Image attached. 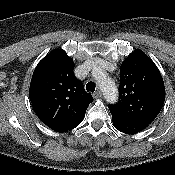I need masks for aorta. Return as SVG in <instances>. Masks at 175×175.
I'll return each mask as SVG.
<instances>
[{"instance_id":"1","label":"aorta","mask_w":175,"mask_h":175,"mask_svg":"<svg viewBox=\"0 0 175 175\" xmlns=\"http://www.w3.org/2000/svg\"><path fill=\"white\" fill-rule=\"evenodd\" d=\"M93 76L97 80L106 101L109 103L116 102L118 99V90L113 80L107 77L100 69L93 70Z\"/></svg>"}]
</instances>
